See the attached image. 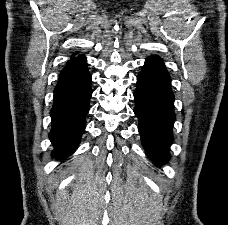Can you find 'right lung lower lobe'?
<instances>
[{
    "instance_id": "1",
    "label": "right lung lower lobe",
    "mask_w": 228,
    "mask_h": 225,
    "mask_svg": "<svg viewBox=\"0 0 228 225\" xmlns=\"http://www.w3.org/2000/svg\"><path fill=\"white\" fill-rule=\"evenodd\" d=\"M86 66L84 55L72 57L61 71L54 89L49 133L55 148L54 157L63 158L73 153L85 129L92 94L91 75Z\"/></svg>"
}]
</instances>
